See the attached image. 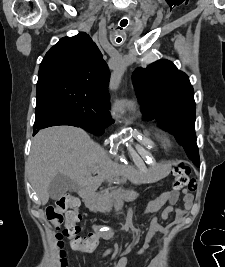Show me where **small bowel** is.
<instances>
[{
    "instance_id": "1",
    "label": "small bowel",
    "mask_w": 225,
    "mask_h": 267,
    "mask_svg": "<svg viewBox=\"0 0 225 267\" xmlns=\"http://www.w3.org/2000/svg\"><path fill=\"white\" fill-rule=\"evenodd\" d=\"M180 195L182 196L183 207H177L175 205ZM192 204H193V195L187 189H183L181 192L169 191V192L163 193L154 201H151L147 205L145 212L156 213L164 207L160 215L162 220H168L169 215L171 213H175V219L177 221H180L183 218V216L186 214V212L192 207ZM102 231L103 232H99L97 227L94 226L89 234V236L92 237V241L94 243V249L98 241L103 236L108 235V233L105 230H102ZM157 232L166 234L168 231L166 228L162 227L159 224L157 217H152L147 234L143 240L142 246L137 251L138 255L143 254L150 247L153 236ZM94 249L91 252H93ZM91 252H88V253H91ZM127 260H128L127 256L120 257L114 267H126ZM157 262H158V259H155L154 264H157Z\"/></svg>"
}]
</instances>
